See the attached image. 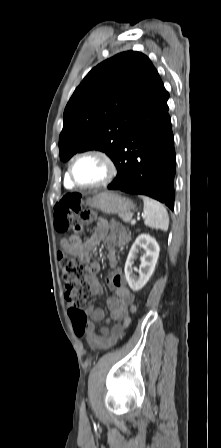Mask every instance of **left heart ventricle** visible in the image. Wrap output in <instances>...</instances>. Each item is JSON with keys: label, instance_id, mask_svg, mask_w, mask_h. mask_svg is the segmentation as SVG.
<instances>
[{"label": "left heart ventricle", "instance_id": "b2bd125f", "mask_svg": "<svg viewBox=\"0 0 221 448\" xmlns=\"http://www.w3.org/2000/svg\"><path fill=\"white\" fill-rule=\"evenodd\" d=\"M108 169L102 159L96 156L80 158L74 167V176L82 184H95L106 178Z\"/></svg>", "mask_w": 221, "mask_h": 448}]
</instances>
